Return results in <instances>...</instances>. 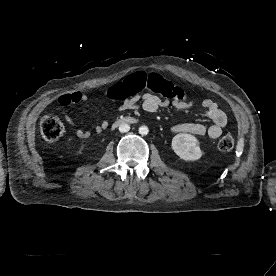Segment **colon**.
Wrapping results in <instances>:
<instances>
[{
    "label": "colon",
    "mask_w": 276,
    "mask_h": 276,
    "mask_svg": "<svg viewBox=\"0 0 276 276\" xmlns=\"http://www.w3.org/2000/svg\"><path fill=\"white\" fill-rule=\"evenodd\" d=\"M144 89L176 103H186L188 99L181 88L164 80L157 74L143 72L135 73L126 81L114 86L109 91V95L114 100H121L134 97ZM40 128L43 139L49 143L59 140L65 132L63 122L52 114L45 115L42 118ZM233 146L234 138L231 133L223 135L218 142V148L223 152L232 150Z\"/></svg>",
    "instance_id": "5ec220e1"
}]
</instances>
